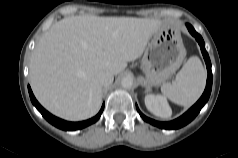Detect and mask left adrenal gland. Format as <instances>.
<instances>
[{
    "label": "left adrenal gland",
    "instance_id": "left-adrenal-gland-1",
    "mask_svg": "<svg viewBox=\"0 0 238 158\" xmlns=\"http://www.w3.org/2000/svg\"><path fill=\"white\" fill-rule=\"evenodd\" d=\"M146 92H148V88H146Z\"/></svg>",
    "mask_w": 238,
    "mask_h": 158
}]
</instances>
